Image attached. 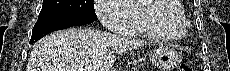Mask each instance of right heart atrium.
Segmentation results:
<instances>
[{
	"mask_svg": "<svg viewBox=\"0 0 230 71\" xmlns=\"http://www.w3.org/2000/svg\"><path fill=\"white\" fill-rule=\"evenodd\" d=\"M127 0H96L95 13L99 21L108 29L123 33L132 24V18L124 8Z\"/></svg>",
	"mask_w": 230,
	"mask_h": 71,
	"instance_id": "d8ad5b80",
	"label": "right heart atrium"
}]
</instances>
